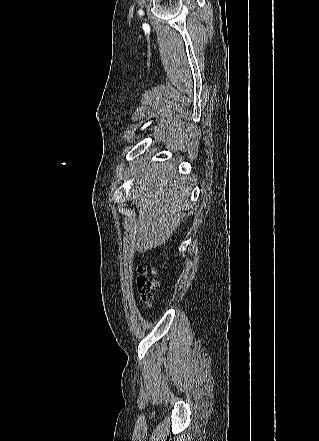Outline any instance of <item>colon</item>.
Listing matches in <instances>:
<instances>
[{
    "instance_id": "obj_1",
    "label": "colon",
    "mask_w": 319,
    "mask_h": 441,
    "mask_svg": "<svg viewBox=\"0 0 319 441\" xmlns=\"http://www.w3.org/2000/svg\"><path fill=\"white\" fill-rule=\"evenodd\" d=\"M155 274L156 270L154 267H149L145 263L138 265L136 286L142 301L148 307H150L153 302L154 292L159 288V284L154 278Z\"/></svg>"
}]
</instances>
